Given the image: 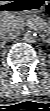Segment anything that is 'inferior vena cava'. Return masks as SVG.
I'll return each mask as SVG.
<instances>
[{
  "label": "inferior vena cava",
  "mask_w": 50,
  "mask_h": 111,
  "mask_svg": "<svg viewBox=\"0 0 50 111\" xmlns=\"http://www.w3.org/2000/svg\"><path fill=\"white\" fill-rule=\"evenodd\" d=\"M20 35V31L18 30H10L3 32L1 34V38L4 39L5 41H11L13 39H16Z\"/></svg>",
  "instance_id": "602c4592"
}]
</instances>
